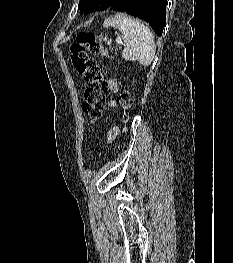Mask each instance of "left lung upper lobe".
Instances as JSON below:
<instances>
[{
  "label": "left lung upper lobe",
  "mask_w": 233,
  "mask_h": 263,
  "mask_svg": "<svg viewBox=\"0 0 233 263\" xmlns=\"http://www.w3.org/2000/svg\"><path fill=\"white\" fill-rule=\"evenodd\" d=\"M115 0H80L78 8L83 13L91 11H102L111 6Z\"/></svg>",
  "instance_id": "5c2ea615"
}]
</instances>
